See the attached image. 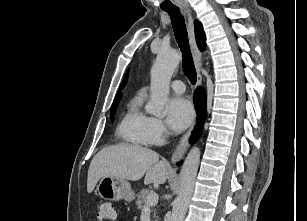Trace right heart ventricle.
<instances>
[{"instance_id":"e07e8e85","label":"right heart ventricle","mask_w":307,"mask_h":221,"mask_svg":"<svg viewBox=\"0 0 307 221\" xmlns=\"http://www.w3.org/2000/svg\"><path fill=\"white\" fill-rule=\"evenodd\" d=\"M142 100L132 99L127 110L117 126V136L122 142L147 146L151 144L149 136V117L143 112Z\"/></svg>"}]
</instances>
